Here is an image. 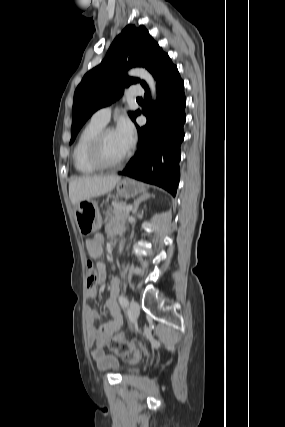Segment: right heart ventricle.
Returning <instances> with one entry per match:
<instances>
[{
    "instance_id": "e07e8e85",
    "label": "right heart ventricle",
    "mask_w": 285,
    "mask_h": 427,
    "mask_svg": "<svg viewBox=\"0 0 285 427\" xmlns=\"http://www.w3.org/2000/svg\"><path fill=\"white\" fill-rule=\"evenodd\" d=\"M105 127V124L91 119L81 130L73 148V164L77 172L92 175L98 172L88 159V148L94 137Z\"/></svg>"
}]
</instances>
